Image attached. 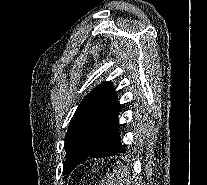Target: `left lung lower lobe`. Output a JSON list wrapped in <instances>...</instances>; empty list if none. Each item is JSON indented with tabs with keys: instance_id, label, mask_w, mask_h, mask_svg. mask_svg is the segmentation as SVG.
<instances>
[{
	"instance_id": "0a47b994",
	"label": "left lung lower lobe",
	"mask_w": 207,
	"mask_h": 185,
	"mask_svg": "<svg viewBox=\"0 0 207 185\" xmlns=\"http://www.w3.org/2000/svg\"><path fill=\"white\" fill-rule=\"evenodd\" d=\"M119 135L120 133L117 130L104 151L84 155L80 160L77 161V163L72 167V169L68 171V173L73 171L78 164L85 162L88 158H105L114 155L118 156L119 153H126L124 146L121 145Z\"/></svg>"
}]
</instances>
